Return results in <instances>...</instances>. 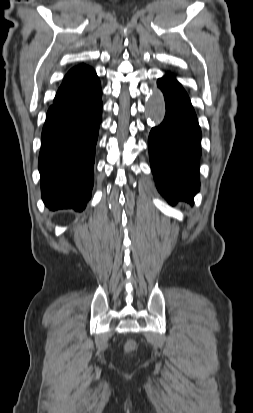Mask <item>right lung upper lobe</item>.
Returning a JSON list of instances; mask_svg holds the SVG:
<instances>
[{"label":"right lung upper lobe","mask_w":253,"mask_h":413,"mask_svg":"<svg viewBox=\"0 0 253 413\" xmlns=\"http://www.w3.org/2000/svg\"><path fill=\"white\" fill-rule=\"evenodd\" d=\"M99 79L95 71L84 64L72 68L64 77L53 104L76 98L94 88Z\"/></svg>","instance_id":"cb5924a9"}]
</instances>
